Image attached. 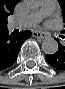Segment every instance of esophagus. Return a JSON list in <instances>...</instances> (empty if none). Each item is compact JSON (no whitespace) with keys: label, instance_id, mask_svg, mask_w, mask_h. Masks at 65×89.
Returning <instances> with one entry per match:
<instances>
[{"label":"esophagus","instance_id":"esophagus-1","mask_svg":"<svg viewBox=\"0 0 65 89\" xmlns=\"http://www.w3.org/2000/svg\"><path fill=\"white\" fill-rule=\"evenodd\" d=\"M32 36L36 37V38H42V39L48 37V35L45 32H42V31H33Z\"/></svg>","mask_w":65,"mask_h":89}]
</instances>
